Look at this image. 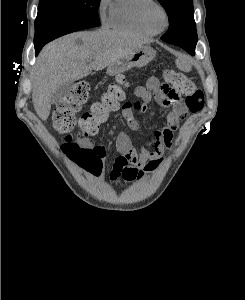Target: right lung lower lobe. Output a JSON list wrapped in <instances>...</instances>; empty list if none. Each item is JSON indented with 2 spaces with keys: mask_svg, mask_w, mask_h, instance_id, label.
<instances>
[{
  "mask_svg": "<svg viewBox=\"0 0 245 300\" xmlns=\"http://www.w3.org/2000/svg\"><path fill=\"white\" fill-rule=\"evenodd\" d=\"M45 44H42L41 46L39 47H35V53L36 55L39 53V51L41 50V48L44 46Z\"/></svg>",
  "mask_w": 245,
  "mask_h": 300,
  "instance_id": "98d812e1",
  "label": "right lung lower lobe"
}]
</instances>
